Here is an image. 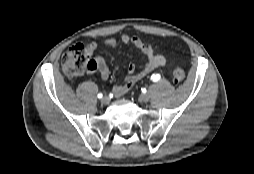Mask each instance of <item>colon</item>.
Segmentation results:
<instances>
[{"instance_id":"colon-1","label":"colon","mask_w":254,"mask_h":174,"mask_svg":"<svg viewBox=\"0 0 254 174\" xmlns=\"http://www.w3.org/2000/svg\"><path fill=\"white\" fill-rule=\"evenodd\" d=\"M63 69L69 75H80L94 69L93 62L89 59L86 47L81 43L70 46L63 54L61 59ZM175 83H182L185 79V73L182 69L176 68L173 73Z\"/></svg>"}]
</instances>
